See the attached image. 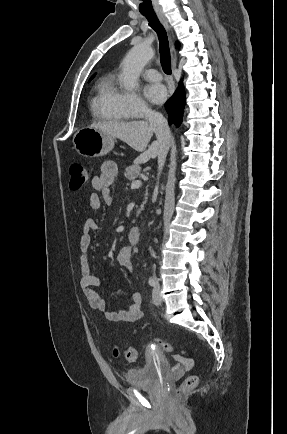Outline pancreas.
Segmentation results:
<instances>
[{
	"label": "pancreas",
	"mask_w": 287,
	"mask_h": 434,
	"mask_svg": "<svg viewBox=\"0 0 287 434\" xmlns=\"http://www.w3.org/2000/svg\"><path fill=\"white\" fill-rule=\"evenodd\" d=\"M140 173H141V167L139 165H132L125 169L124 176L128 180H135L137 177L140 176Z\"/></svg>",
	"instance_id": "pancreas-1"
}]
</instances>
